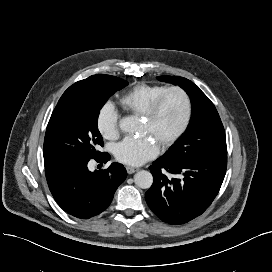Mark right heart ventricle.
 Returning a JSON list of instances; mask_svg holds the SVG:
<instances>
[{"label": "right heart ventricle", "instance_id": "obj_1", "mask_svg": "<svg viewBox=\"0 0 272 272\" xmlns=\"http://www.w3.org/2000/svg\"><path fill=\"white\" fill-rule=\"evenodd\" d=\"M166 88L162 84H137L120 97L119 103L129 113L142 116L151 102Z\"/></svg>", "mask_w": 272, "mask_h": 272}]
</instances>
